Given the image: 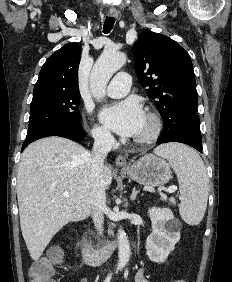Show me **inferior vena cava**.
Returning <instances> with one entry per match:
<instances>
[{"label": "inferior vena cava", "instance_id": "1", "mask_svg": "<svg viewBox=\"0 0 232 282\" xmlns=\"http://www.w3.org/2000/svg\"><path fill=\"white\" fill-rule=\"evenodd\" d=\"M114 145V138L108 131L97 132L92 152L87 157L88 176L91 187L92 219L99 234L103 233L106 210L105 185L103 180L104 159Z\"/></svg>", "mask_w": 232, "mask_h": 282}]
</instances>
